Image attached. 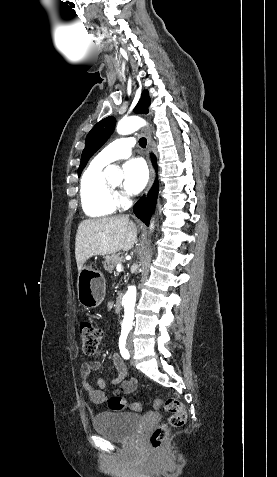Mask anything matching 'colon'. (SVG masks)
<instances>
[{
    "mask_svg": "<svg viewBox=\"0 0 277 477\" xmlns=\"http://www.w3.org/2000/svg\"><path fill=\"white\" fill-rule=\"evenodd\" d=\"M80 338L82 349L85 354H93L102 339V333L91 321L85 320L80 324ZM108 407L112 411H121L125 408L140 410L138 403H128L124 398L115 396L108 402ZM163 407L170 414L167 424H160L154 428L150 435L151 447L159 450L168 436L169 427H181L186 421V411L183 404L174 397L164 400L156 399L153 402V408Z\"/></svg>",
    "mask_w": 277,
    "mask_h": 477,
    "instance_id": "5ec220e1",
    "label": "colon"
}]
</instances>
